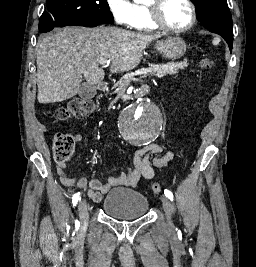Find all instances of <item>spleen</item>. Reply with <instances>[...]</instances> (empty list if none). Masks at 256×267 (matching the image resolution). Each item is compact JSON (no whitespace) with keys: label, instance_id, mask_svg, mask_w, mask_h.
<instances>
[{"label":"spleen","instance_id":"1","mask_svg":"<svg viewBox=\"0 0 256 267\" xmlns=\"http://www.w3.org/2000/svg\"><path fill=\"white\" fill-rule=\"evenodd\" d=\"M220 40L219 38H214L212 44H214V46H217V44H219Z\"/></svg>","mask_w":256,"mask_h":267}]
</instances>
